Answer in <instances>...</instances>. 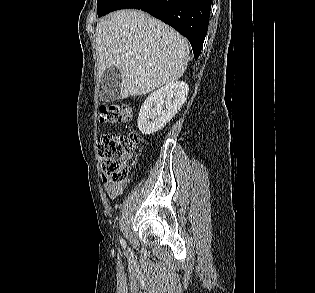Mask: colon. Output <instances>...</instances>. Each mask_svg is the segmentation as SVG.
<instances>
[{
	"label": "colon",
	"instance_id": "5ec220e1",
	"mask_svg": "<svg viewBox=\"0 0 315 293\" xmlns=\"http://www.w3.org/2000/svg\"><path fill=\"white\" fill-rule=\"evenodd\" d=\"M132 109L128 106H104L98 113L99 121L118 123L129 121ZM139 142L135 133L128 135L103 134L98 138L97 150L103 181L110 184H122L128 178L129 160Z\"/></svg>",
	"mask_w": 315,
	"mask_h": 293
}]
</instances>
